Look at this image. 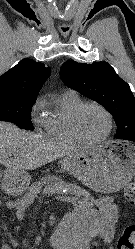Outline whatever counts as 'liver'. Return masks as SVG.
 <instances>
[{
  "mask_svg": "<svg viewBox=\"0 0 135 249\" xmlns=\"http://www.w3.org/2000/svg\"><path fill=\"white\" fill-rule=\"evenodd\" d=\"M81 150L83 148L58 144L14 124L0 122V164L9 171L36 169Z\"/></svg>",
  "mask_w": 135,
  "mask_h": 249,
  "instance_id": "1",
  "label": "liver"
}]
</instances>
